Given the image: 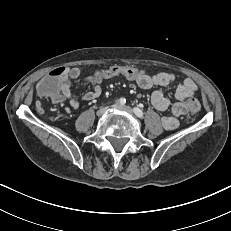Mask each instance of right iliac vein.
<instances>
[{"mask_svg":"<svg viewBox=\"0 0 231 231\" xmlns=\"http://www.w3.org/2000/svg\"><path fill=\"white\" fill-rule=\"evenodd\" d=\"M108 107H102L97 111V116H102L107 112Z\"/></svg>","mask_w":231,"mask_h":231,"instance_id":"right-iliac-vein-1","label":"right iliac vein"}]
</instances>
